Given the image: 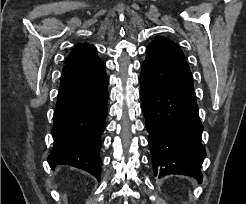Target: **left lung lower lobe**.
Instances as JSON below:
<instances>
[{"label":"left lung lower lobe","instance_id":"1","mask_svg":"<svg viewBox=\"0 0 246 204\" xmlns=\"http://www.w3.org/2000/svg\"><path fill=\"white\" fill-rule=\"evenodd\" d=\"M146 53L140 96L154 174L187 175L202 182L206 152L189 65L158 46L149 45Z\"/></svg>","mask_w":246,"mask_h":204}]
</instances>
